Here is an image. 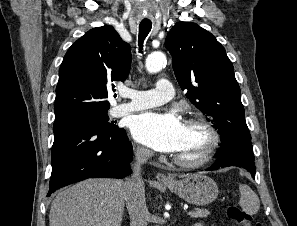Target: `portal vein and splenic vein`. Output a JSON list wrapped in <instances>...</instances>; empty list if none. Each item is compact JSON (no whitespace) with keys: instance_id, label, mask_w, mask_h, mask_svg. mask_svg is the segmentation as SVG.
<instances>
[{"instance_id":"portal-vein-and-splenic-vein-1","label":"portal vein and splenic vein","mask_w":297,"mask_h":226,"mask_svg":"<svg viewBox=\"0 0 297 226\" xmlns=\"http://www.w3.org/2000/svg\"><path fill=\"white\" fill-rule=\"evenodd\" d=\"M194 213V211H189V212H187V215H192Z\"/></svg>"}]
</instances>
